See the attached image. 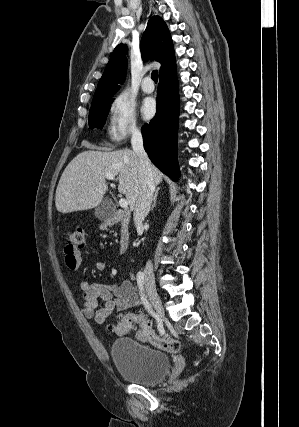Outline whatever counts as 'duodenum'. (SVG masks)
Here are the masks:
<instances>
[{
	"instance_id": "1",
	"label": "duodenum",
	"mask_w": 299,
	"mask_h": 427,
	"mask_svg": "<svg viewBox=\"0 0 299 427\" xmlns=\"http://www.w3.org/2000/svg\"><path fill=\"white\" fill-rule=\"evenodd\" d=\"M130 220V213L128 211L119 210L116 211L111 219L109 220L110 225L120 224L121 232L119 238V253H126L129 247V237L126 231V226Z\"/></svg>"
}]
</instances>
